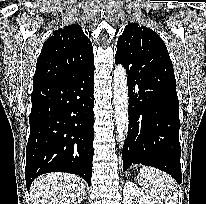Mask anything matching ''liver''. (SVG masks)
Segmentation results:
<instances>
[{"label": "liver", "mask_w": 206, "mask_h": 204, "mask_svg": "<svg viewBox=\"0 0 206 204\" xmlns=\"http://www.w3.org/2000/svg\"><path fill=\"white\" fill-rule=\"evenodd\" d=\"M77 175L53 172L35 179L30 188L32 204H80L86 194Z\"/></svg>", "instance_id": "liver-1"}]
</instances>
